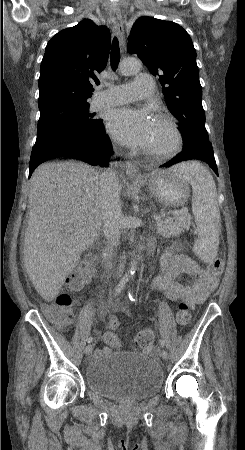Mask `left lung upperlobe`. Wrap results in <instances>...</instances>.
Masks as SVG:
<instances>
[{
    "label": "left lung upper lobe",
    "mask_w": 245,
    "mask_h": 450,
    "mask_svg": "<svg viewBox=\"0 0 245 450\" xmlns=\"http://www.w3.org/2000/svg\"><path fill=\"white\" fill-rule=\"evenodd\" d=\"M128 50L159 77L166 104L180 122L183 151L210 147L196 51L189 34L174 22L140 17L131 29Z\"/></svg>",
    "instance_id": "obj_1"
}]
</instances>
